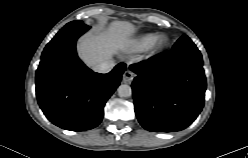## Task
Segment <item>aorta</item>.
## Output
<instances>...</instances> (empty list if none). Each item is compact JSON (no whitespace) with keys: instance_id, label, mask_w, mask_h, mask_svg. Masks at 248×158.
Listing matches in <instances>:
<instances>
[{"instance_id":"obj_1","label":"aorta","mask_w":248,"mask_h":158,"mask_svg":"<svg viewBox=\"0 0 248 158\" xmlns=\"http://www.w3.org/2000/svg\"><path fill=\"white\" fill-rule=\"evenodd\" d=\"M117 91L120 97H130L132 95V89L127 84L120 85Z\"/></svg>"}]
</instances>
